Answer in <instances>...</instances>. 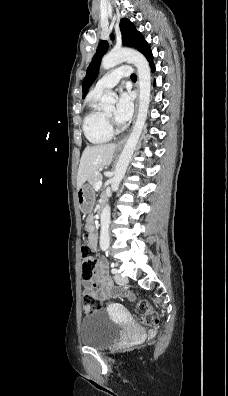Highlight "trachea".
<instances>
[{"mask_svg": "<svg viewBox=\"0 0 228 396\" xmlns=\"http://www.w3.org/2000/svg\"><path fill=\"white\" fill-rule=\"evenodd\" d=\"M136 79H137V76L135 74H132L131 75V80L136 81Z\"/></svg>", "mask_w": 228, "mask_h": 396, "instance_id": "obj_1", "label": "trachea"}]
</instances>
